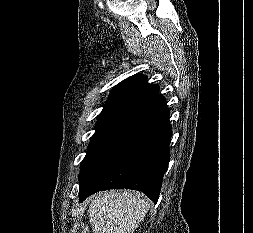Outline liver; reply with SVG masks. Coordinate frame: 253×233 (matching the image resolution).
Returning <instances> with one entry per match:
<instances>
[{
	"mask_svg": "<svg viewBox=\"0 0 253 233\" xmlns=\"http://www.w3.org/2000/svg\"><path fill=\"white\" fill-rule=\"evenodd\" d=\"M148 208L143 194L114 190L95 195L88 216L93 233H134Z\"/></svg>",
	"mask_w": 253,
	"mask_h": 233,
	"instance_id": "1",
	"label": "liver"
}]
</instances>
